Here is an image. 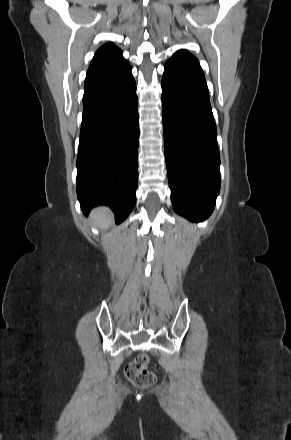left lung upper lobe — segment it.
<instances>
[{"label":"left lung upper lobe","mask_w":291,"mask_h":440,"mask_svg":"<svg viewBox=\"0 0 291 440\" xmlns=\"http://www.w3.org/2000/svg\"><path fill=\"white\" fill-rule=\"evenodd\" d=\"M178 52H187L186 50H180V51H178Z\"/></svg>","instance_id":"obj_1"}]
</instances>
